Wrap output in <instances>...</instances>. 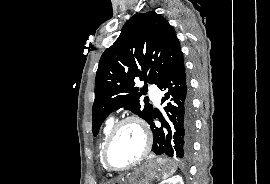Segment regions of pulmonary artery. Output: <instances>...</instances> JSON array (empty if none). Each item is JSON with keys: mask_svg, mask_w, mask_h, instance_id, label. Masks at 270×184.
Listing matches in <instances>:
<instances>
[{"mask_svg": "<svg viewBox=\"0 0 270 184\" xmlns=\"http://www.w3.org/2000/svg\"><path fill=\"white\" fill-rule=\"evenodd\" d=\"M150 94L152 99L154 100L155 103L159 102V90L155 86H150L149 88Z\"/></svg>", "mask_w": 270, "mask_h": 184, "instance_id": "1", "label": "pulmonary artery"}]
</instances>
